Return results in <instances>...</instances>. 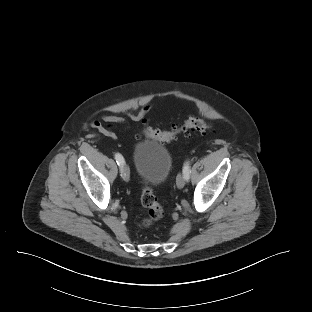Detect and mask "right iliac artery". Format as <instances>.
Here are the masks:
<instances>
[{
	"label": "right iliac artery",
	"mask_w": 312,
	"mask_h": 312,
	"mask_svg": "<svg viewBox=\"0 0 312 312\" xmlns=\"http://www.w3.org/2000/svg\"><path fill=\"white\" fill-rule=\"evenodd\" d=\"M115 159H116L117 164H118L120 167H122L123 164H124V158L122 157V155L119 154V153H116V154H115Z\"/></svg>",
	"instance_id": "right-iliac-artery-1"
}]
</instances>
